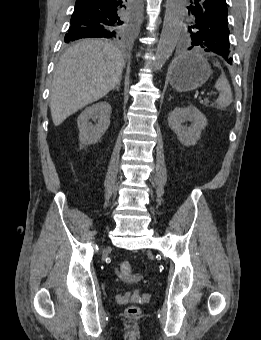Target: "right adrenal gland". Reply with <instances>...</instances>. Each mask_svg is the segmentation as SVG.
Returning <instances> with one entry per match:
<instances>
[{
	"instance_id": "right-adrenal-gland-1",
	"label": "right adrenal gland",
	"mask_w": 261,
	"mask_h": 340,
	"mask_svg": "<svg viewBox=\"0 0 261 340\" xmlns=\"http://www.w3.org/2000/svg\"><path fill=\"white\" fill-rule=\"evenodd\" d=\"M120 86V82L116 85L115 89L118 91Z\"/></svg>"
}]
</instances>
